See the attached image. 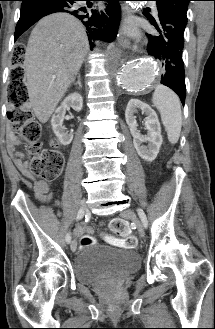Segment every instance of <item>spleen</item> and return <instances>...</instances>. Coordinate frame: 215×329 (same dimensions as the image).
Here are the masks:
<instances>
[{
  "instance_id": "1",
  "label": "spleen",
  "mask_w": 215,
  "mask_h": 329,
  "mask_svg": "<svg viewBox=\"0 0 215 329\" xmlns=\"http://www.w3.org/2000/svg\"><path fill=\"white\" fill-rule=\"evenodd\" d=\"M152 102L160 112L169 142L176 144L182 127L181 105L178 96L168 87L158 85L153 93Z\"/></svg>"
}]
</instances>
